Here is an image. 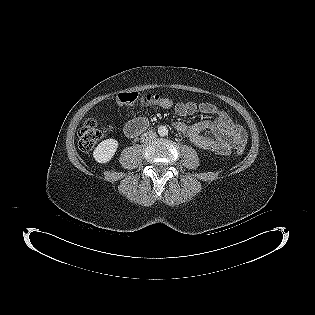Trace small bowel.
Returning <instances> with one entry per match:
<instances>
[{
  "label": "small bowel",
  "mask_w": 315,
  "mask_h": 315,
  "mask_svg": "<svg viewBox=\"0 0 315 315\" xmlns=\"http://www.w3.org/2000/svg\"><path fill=\"white\" fill-rule=\"evenodd\" d=\"M171 108L179 116H190L197 112L215 116L214 121L204 120L194 125H187L182 121L173 124L177 131L199 149L227 155L233 149L244 147L247 141L244 128L226 111L212 103L177 102Z\"/></svg>",
  "instance_id": "small-bowel-1"
}]
</instances>
